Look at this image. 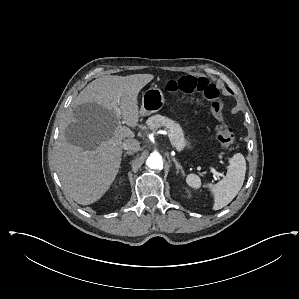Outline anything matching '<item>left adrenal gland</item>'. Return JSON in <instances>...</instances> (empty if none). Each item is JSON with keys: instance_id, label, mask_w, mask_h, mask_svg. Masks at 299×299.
<instances>
[{"instance_id": "left-adrenal-gland-1", "label": "left adrenal gland", "mask_w": 299, "mask_h": 299, "mask_svg": "<svg viewBox=\"0 0 299 299\" xmlns=\"http://www.w3.org/2000/svg\"><path fill=\"white\" fill-rule=\"evenodd\" d=\"M172 161L175 164V167L177 169V173L181 172L184 175V170H183L181 164L174 157H172Z\"/></svg>"}]
</instances>
